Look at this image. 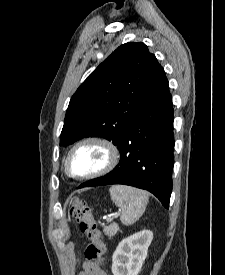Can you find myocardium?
I'll use <instances>...</instances> for the list:
<instances>
[{
  "mask_svg": "<svg viewBox=\"0 0 225 275\" xmlns=\"http://www.w3.org/2000/svg\"><path fill=\"white\" fill-rule=\"evenodd\" d=\"M86 145H94L101 148L105 153V161L104 164L89 173L86 174H75L72 172L70 168V159L73 153L78 150L79 148L86 146ZM119 161V151L118 148L113 144L111 141L106 139L98 138V137H87L78 142H76L68 151L67 156L65 158L64 167L66 173L76 179H92L104 174L109 173L111 170L115 168Z\"/></svg>",
  "mask_w": 225,
  "mask_h": 275,
  "instance_id": "myocardium-1",
  "label": "myocardium"
}]
</instances>
